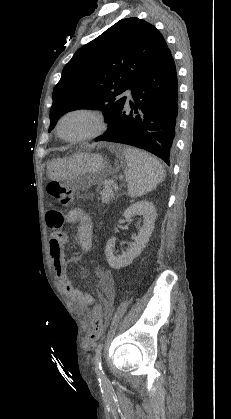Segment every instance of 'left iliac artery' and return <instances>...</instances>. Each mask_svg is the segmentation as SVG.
<instances>
[{"mask_svg": "<svg viewBox=\"0 0 231 419\" xmlns=\"http://www.w3.org/2000/svg\"><path fill=\"white\" fill-rule=\"evenodd\" d=\"M102 348H103V343H100L96 349V354H95V370L99 377L104 375V371L102 369V360H101Z\"/></svg>", "mask_w": 231, "mask_h": 419, "instance_id": "1", "label": "left iliac artery"}]
</instances>
